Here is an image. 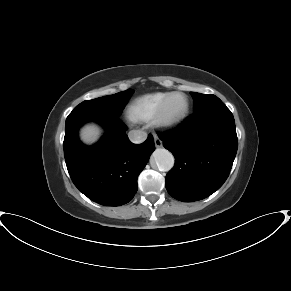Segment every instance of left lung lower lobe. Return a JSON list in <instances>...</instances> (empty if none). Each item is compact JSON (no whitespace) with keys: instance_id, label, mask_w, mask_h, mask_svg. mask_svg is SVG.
I'll list each match as a JSON object with an SVG mask.
<instances>
[{"instance_id":"obj_1","label":"left lung lower lobe","mask_w":291,"mask_h":291,"mask_svg":"<svg viewBox=\"0 0 291 291\" xmlns=\"http://www.w3.org/2000/svg\"><path fill=\"white\" fill-rule=\"evenodd\" d=\"M175 157L166 175V189L175 199H204L226 181L236 156L235 121L224 103L194 113L180 128L159 134Z\"/></svg>"}]
</instances>
